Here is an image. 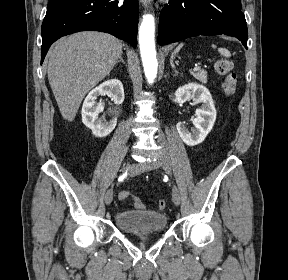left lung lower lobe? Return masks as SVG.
I'll return each mask as SVG.
<instances>
[{
	"instance_id": "obj_1",
	"label": "left lung lower lobe",
	"mask_w": 288,
	"mask_h": 280,
	"mask_svg": "<svg viewBox=\"0 0 288 280\" xmlns=\"http://www.w3.org/2000/svg\"><path fill=\"white\" fill-rule=\"evenodd\" d=\"M230 35L247 49L242 7L231 0H170L160 14L158 43L165 45L198 35Z\"/></svg>"
}]
</instances>
